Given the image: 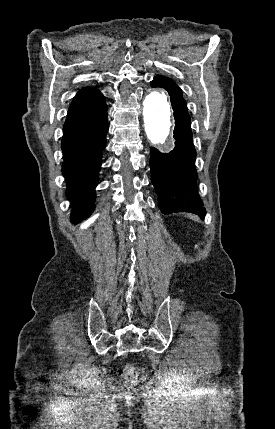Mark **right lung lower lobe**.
Masks as SVG:
<instances>
[{
	"label": "right lung lower lobe",
	"instance_id": "right-lung-lower-lobe-1",
	"mask_svg": "<svg viewBox=\"0 0 275 429\" xmlns=\"http://www.w3.org/2000/svg\"><path fill=\"white\" fill-rule=\"evenodd\" d=\"M107 131V108L86 121L64 125L62 173L66 178L67 197L72 201V222H80L94 210Z\"/></svg>",
	"mask_w": 275,
	"mask_h": 429
}]
</instances>
